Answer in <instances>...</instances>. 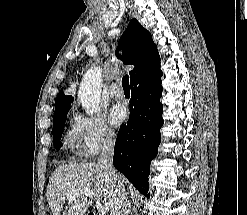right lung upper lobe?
Returning <instances> with one entry per match:
<instances>
[{
  "label": "right lung upper lobe",
  "mask_w": 247,
  "mask_h": 215,
  "mask_svg": "<svg viewBox=\"0 0 247 215\" xmlns=\"http://www.w3.org/2000/svg\"><path fill=\"white\" fill-rule=\"evenodd\" d=\"M120 49H122V56L119 54L117 56L123 63L135 66L129 73L130 80L159 57L150 32L144 29L136 19L130 21L121 36L117 50ZM72 101V96H65L63 92H60L55 102L54 115L69 109Z\"/></svg>",
  "instance_id": "1"
}]
</instances>
